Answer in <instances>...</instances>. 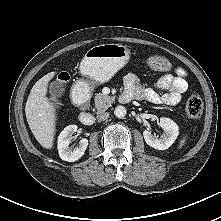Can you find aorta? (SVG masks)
Wrapping results in <instances>:
<instances>
[{
	"label": "aorta",
	"mask_w": 221,
	"mask_h": 221,
	"mask_svg": "<svg viewBox=\"0 0 221 221\" xmlns=\"http://www.w3.org/2000/svg\"><path fill=\"white\" fill-rule=\"evenodd\" d=\"M114 114L118 118H123L126 115V108L124 106H117L114 110Z\"/></svg>",
	"instance_id": "762f6f07"
}]
</instances>
